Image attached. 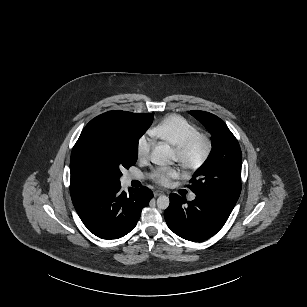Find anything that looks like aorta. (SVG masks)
Returning a JSON list of instances; mask_svg holds the SVG:
<instances>
[{
	"mask_svg": "<svg viewBox=\"0 0 307 307\" xmlns=\"http://www.w3.org/2000/svg\"><path fill=\"white\" fill-rule=\"evenodd\" d=\"M173 150L168 144L161 143L157 145L150 156L152 163L156 165H169L172 163ZM170 203L169 198L166 195H161L157 199V207L159 209L165 210L168 208Z\"/></svg>",
	"mask_w": 307,
	"mask_h": 307,
	"instance_id": "1",
	"label": "aorta"
}]
</instances>
